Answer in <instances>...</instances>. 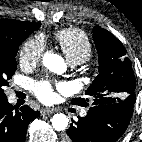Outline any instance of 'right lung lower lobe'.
<instances>
[{
	"label": "right lung lower lobe",
	"mask_w": 142,
	"mask_h": 142,
	"mask_svg": "<svg viewBox=\"0 0 142 142\" xmlns=\"http://www.w3.org/2000/svg\"><path fill=\"white\" fill-rule=\"evenodd\" d=\"M14 108L7 97L0 99V142H24L29 123L40 115L29 106Z\"/></svg>",
	"instance_id": "98d812e1"
}]
</instances>
